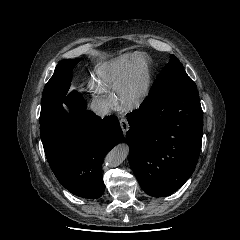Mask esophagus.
I'll use <instances>...</instances> for the list:
<instances>
[{
	"label": "esophagus",
	"instance_id": "34e87169",
	"mask_svg": "<svg viewBox=\"0 0 240 240\" xmlns=\"http://www.w3.org/2000/svg\"><path fill=\"white\" fill-rule=\"evenodd\" d=\"M120 126H121V129H122L123 133L126 134V132L129 129V124H128V121H127L126 118H121L120 119Z\"/></svg>",
	"mask_w": 240,
	"mask_h": 240
}]
</instances>
